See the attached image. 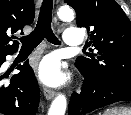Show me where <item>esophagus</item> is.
Instances as JSON below:
<instances>
[{
	"label": "esophagus",
	"mask_w": 131,
	"mask_h": 115,
	"mask_svg": "<svg viewBox=\"0 0 131 115\" xmlns=\"http://www.w3.org/2000/svg\"><path fill=\"white\" fill-rule=\"evenodd\" d=\"M43 92H44L46 99L48 100L53 99L56 95V92L53 89H50L48 87H44Z\"/></svg>",
	"instance_id": "34e87169"
}]
</instances>
